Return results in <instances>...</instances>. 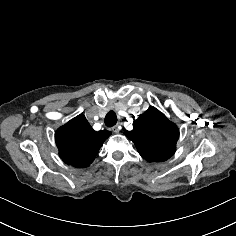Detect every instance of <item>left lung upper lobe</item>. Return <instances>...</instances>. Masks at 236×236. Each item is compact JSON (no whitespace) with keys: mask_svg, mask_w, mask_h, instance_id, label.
I'll list each match as a JSON object with an SVG mask.
<instances>
[{"mask_svg":"<svg viewBox=\"0 0 236 236\" xmlns=\"http://www.w3.org/2000/svg\"><path fill=\"white\" fill-rule=\"evenodd\" d=\"M124 134L148 162H163L176 150L179 129L159 110L150 106L133 121V130L125 131Z\"/></svg>","mask_w":236,"mask_h":236,"instance_id":"obj_1","label":"left lung upper lobe"}]
</instances>
